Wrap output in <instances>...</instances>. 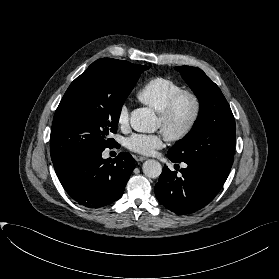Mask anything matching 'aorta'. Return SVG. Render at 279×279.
I'll use <instances>...</instances> for the list:
<instances>
[{"instance_id":"obj_1","label":"aorta","mask_w":279,"mask_h":279,"mask_svg":"<svg viewBox=\"0 0 279 279\" xmlns=\"http://www.w3.org/2000/svg\"><path fill=\"white\" fill-rule=\"evenodd\" d=\"M130 124L137 132L152 133L158 128V119L151 109L138 108L132 111ZM143 173L149 178H157L162 173V166L158 161L149 159L143 164Z\"/></svg>"}]
</instances>
